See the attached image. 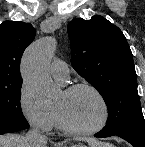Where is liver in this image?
<instances>
[{
  "label": "liver",
  "mask_w": 145,
  "mask_h": 147,
  "mask_svg": "<svg viewBox=\"0 0 145 147\" xmlns=\"http://www.w3.org/2000/svg\"><path fill=\"white\" fill-rule=\"evenodd\" d=\"M90 147H113V145L100 143L94 139H86ZM27 141L25 136L17 134L0 135V147H35ZM46 147V146H43Z\"/></svg>",
  "instance_id": "obj_1"
}]
</instances>
